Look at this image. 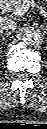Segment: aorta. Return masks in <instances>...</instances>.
<instances>
[{"mask_svg":"<svg viewBox=\"0 0 47 129\" xmlns=\"http://www.w3.org/2000/svg\"><path fill=\"white\" fill-rule=\"evenodd\" d=\"M22 38L27 45L34 46L41 44L43 40V35L38 28L27 27L22 32Z\"/></svg>","mask_w":47,"mask_h":129,"instance_id":"762f6f07","label":"aorta"}]
</instances>
